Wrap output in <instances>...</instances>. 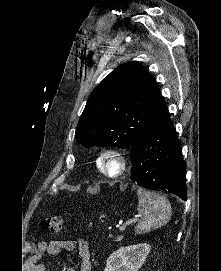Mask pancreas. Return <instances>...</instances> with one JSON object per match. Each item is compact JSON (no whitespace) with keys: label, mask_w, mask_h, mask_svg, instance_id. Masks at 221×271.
Returning a JSON list of instances; mask_svg holds the SVG:
<instances>
[{"label":"pancreas","mask_w":221,"mask_h":271,"mask_svg":"<svg viewBox=\"0 0 221 271\" xmlns=\"http://www.w3.org/2000/svg\"><path fill=\"white\" fill-rule=\"evenodd\" d=\"M121 235H119V239H120ZM109 243H112V240H109Z\"/></svg>","instance_id":"1"}]
</instances>
